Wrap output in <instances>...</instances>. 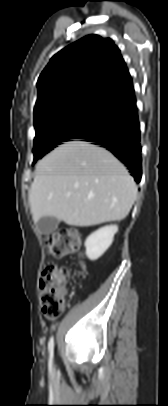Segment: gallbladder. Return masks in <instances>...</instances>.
I'll return each instance as SVG.
<instances>
[{
	"label": "gallbladder",
	"mask_w": 168,
	"mask_h": 406,
	"mask_svg": "<svg viewBox=\"0 0 168 406\" xmlns=\"http://www.w3.org/2000/svg\"><path fill=\"white\" fill-rule=\"evenodd\" d=\"M59 220L55 217L45 216L39 219L37 227L42 234H50L57 229Z\"/></svg>",
	"instance_id": "gallbladder-1"
}]
</instances>
